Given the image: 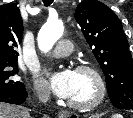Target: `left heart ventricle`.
<instances>
[{
    "label": "left heart ventricle",
    "mask_w": 133,
    "mask_h": 118,
    "mask_svg": "<svg viewBox=\"0 0 133 118\" xmlns=\"http://www.w3.org/2000/svg\"><path fill=\"white\" fill-rule=\"evenodd\" d=\"M77 85L74 95L70 100L79 103L90 101L96 94V86L93 78L87 73L76 72Z\"/></svg>",
    "instance_id": "1"
}]
</instances>
